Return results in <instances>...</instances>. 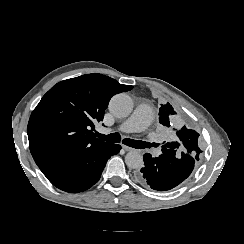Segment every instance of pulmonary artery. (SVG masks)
<instances>
[{
	"mask_svg": "<svg viewBox=\"0 0 244 244\" xmlns=\"http://www.w3.org/2000/svg\"><path fill=\"white\" fill-rule=\"evenodd\" d=\"M151 113L146 108H138L126 121V128L131 133H138L150 124Z\"/></svg>",
	"mask_w": 244,
	"mask_h": 244,
	"instance_id": "pulmonary-artery-1",
	"label": "pulmonary artery"
}]
</instances>
